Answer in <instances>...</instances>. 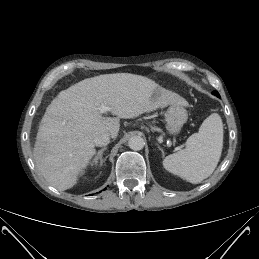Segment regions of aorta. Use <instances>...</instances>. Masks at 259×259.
<instances>
[{
  "instance_id": "obj_1",
  "label": "aorta",
  "mask_w": 259,
  "mask_h": 259,
  "mask_svg": "<svg viewBox=\"0 0 259 259\" xmlns=\"http://www.w3.org/2000/svg\"><path fill=\"white\" fill-rule=\"evenodd\" d=\"M145 145V141L141 136H132L128 141V146L134 151L142 150Z\"/></svg>"
}]
</instances>
